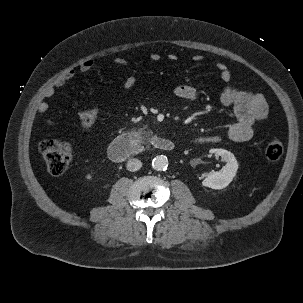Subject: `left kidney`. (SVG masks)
Returning <instances> with one entry per match:
<instances>
[{
    "label": "left kidney",
    "instance_id": "1",
    "mask_svg": "<svg viewBox=\"0 0 303 303\" xmlns=\"http://www.w3.org/2000/svg\"><path fill=\"white\" fill-rule=\"evenodd\" d=\"M210 153L220 156L226 164L221 170L209 173L202 181V185L212 189H223L235 177L238 170V162L234 154L225 149H211Z\"/></svg>",
    "mask_w": 303,
    "mask_h": 303
}]
</instances>
